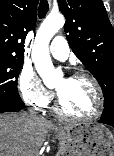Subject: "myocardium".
<instances>
[{
    "mask_svg": "<svg viewBox=\"0 0 114 156\" xmlns=\"http://www.w3.org/2000/svg\"><path fill=\"white\" fill-rule=\"evenodd\" d=\"M81 77L87 78L88 80H90V82L92 83V85L95 89L96 98H97V107H96V110L94 111V113H92L91 115H88V116H74V115L67 113L62 107L61 98H60L58 92L56 94L55 111L58 115H60L61 117L65 118V119H68V120L91 121V120L98 118L103 111V108H104L103 91H102L101 85H100L99 81L96 79V77L87 71H76L69 78H81Z\"/></svg>",
    "mask_w": 114,
    "mask_h": 156,
    "instance_id": "1",
    "label": "myocardium"
}]
</instances>
